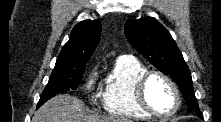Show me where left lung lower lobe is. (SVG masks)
I'll return each mask as SVG.
<instances>
[{
    "mask_svg": "<svg viewBox=\"0 0 221 122\" xmlns=\"http://www.w3.org/2000/svg\"><path fill=\"white\" fill-rule=\"evenodd\" d=\"M200 118H202V116L201 115H198Z\"/></svg>",
    "mask_w": 221,
    "mask_h": 122,
    "instance_id": "0a47b994",
    "label": "left lung lower lobe"
}]
</instances>
